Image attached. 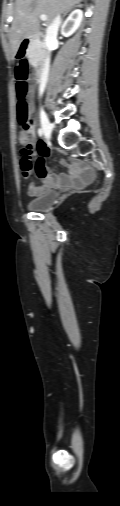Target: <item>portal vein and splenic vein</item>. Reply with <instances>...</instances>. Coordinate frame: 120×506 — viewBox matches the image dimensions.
I'll return each instance as SVG.
<instances>
[{
  "label": "portal vein and splenic vein",
  "mask_w": 120,
  "mask_h": 506,
  "mask_svg": "<svg viewBox=\"0 0 120 506\" xmlns=\"http://www.w3.org/2000/svg\"><path fill=\"white\" fill-rule=\"evenodd\" d=\"M40 19H41L42 21H46V20H47V16H46V15H41V16H40Z\"/></svg>",
  "instance_id": "18ae733b"
}]
</instances>
